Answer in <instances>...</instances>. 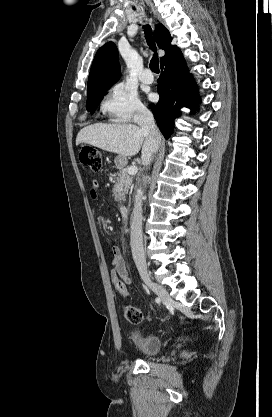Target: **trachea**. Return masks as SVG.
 Wrapping results in <instances>:
<instances>
[{"mask_svg": "<svg viewBox=\"0 0 272 417\" xmlns=\"http://www.w3.org/2000/svg\"><path fill=\"white\" fill-rule=\"evenodd\" d=\"M145 37L149 47L155 52L150 61L149 67L154 73H159V58L156 54V45L152 36L151 28L148 25L145 26Z\"/></svg>", "mask_w": 272, "mask_h": 417, "instance_id": "trachea-1", "label": "trachea"}]
</instances>
